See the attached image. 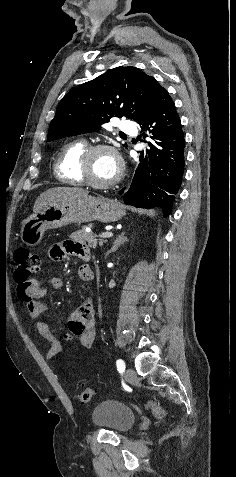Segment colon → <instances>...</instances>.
Here are the masks:
<instances>
[{"instance_id":"1","label":"colon","mask_w":236,"mask_h":477,"mask_svg":"<svg viewBox=\"0 0 236 477\" xmlns=\"http://www.w3.org/2000/svg\"><path fill=\"white\" fill-rule=\"evenodd\" d=\"M41 260L38 255L32 252L27 246H21L14 253V279L18 285V291H30L33 287V276L40 270ZM93 389L88 386H82L78 391V399L82 402H89L93 397ZM153 413L161 417L164 409L157 402L149 403Z\"/></svg>"}]
</instances>
